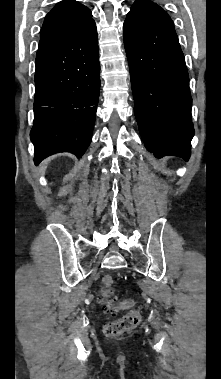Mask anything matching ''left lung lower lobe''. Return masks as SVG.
Here are the masks:
<instances>
[{
	"label": "left lung lower lobe",
	"mask_w": 221,
	"mask_h": 379,
	"mask_svg": "<svg viewBox=\"0 0 221 379\" xmlns=\"http://www.w3.org/2000/svg\"><path fill=\"white\" fill-rule=\"evenodd\" d=\"M123 38L134 96V113L146 148L156 157L188 161L194 128L185 58L174 24L159 6L137 0Z\"/></svg>",
	"instance_id": "1"
}]
</instances>
